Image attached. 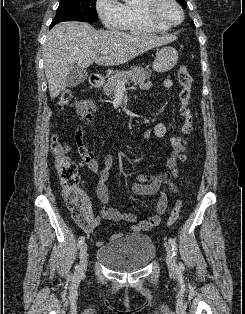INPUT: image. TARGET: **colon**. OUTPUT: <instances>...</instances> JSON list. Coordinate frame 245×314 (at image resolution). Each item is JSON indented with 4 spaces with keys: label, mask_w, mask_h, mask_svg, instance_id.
Here are the masks:
<instances>
[{
    "label": "colon",
    "mask_w": 245,
    "mask_h": 314,
    "mask_svg": "<svg viewBox=\"0 0 245 314\" xmlns=\"http://www.w3.org/2000/svg\"><path fill=\"white\" fill-rule=\"evenodd\" d=\"M178 82L181 86L179 98L180 114L184 118L183 130L186 134H189L192 130V115L188 107L192 77L186 66L180 67L178 71ZM76 103L77 100L72 91L65 90L58 98L57 107L59 109H65L74 107ZM51 148L54 153V168L57 172L59 183L71 216L81 228L88 230L91 227V222L85 208V196L78 187V167L67 155L68 146L60 141L57 136L53 137ZM185 159L186 157L183 156V160ZM174 176L178 179L179 175L177 171H175ZM180 209L181 202H177L167 221L168 226L172 225L179 218Z\"/></svg>",
    "instance_id": "obj_1"
}]
</instances>
